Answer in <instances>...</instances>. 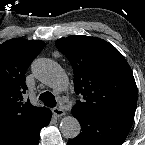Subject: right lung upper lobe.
<instances>
[{
    "label": "right lung upper lobe",
    "instance_id": "obj_1",
    "mask_svg": "<svg viewBox=\"0 0 145 145\" xmlns=\"http://www.w3.org/2000/svg\"><path fill=\"white\" fill-rule=\"evenodd\" d=\"M43 47V41L19 38L0 45V139L48 110L22 101L25 72Z\"/></svg>",
    "mask_w": 145,
    "mask_h": 145
}]
</instances>
